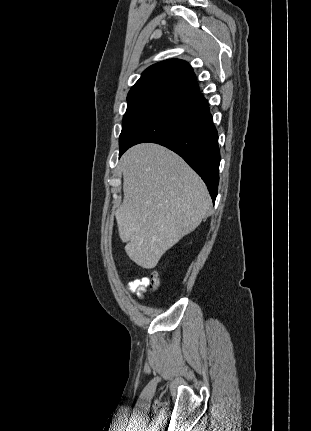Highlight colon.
<instances>
[{
	"label": "colon",
	"mask_w": 311,
	"mask_h": 431,
	"mask_svg": "<svg viewBox=\"0 0 311 431\" xmlns=\"http://www.w3.org/2000/svg\"><path fill=\"white\" fill-rule=\"evenodd\" d=\"M150 283L153 287H158L159 283H160V277L158 273H154L151 278H150Z\"/></svg>",
	"instance_id": "5ec220e1"
}]
</instances>
